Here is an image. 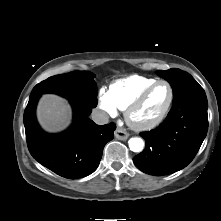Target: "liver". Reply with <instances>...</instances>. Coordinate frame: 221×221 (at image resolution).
<instances>
[{
  "instance_id": "obj_1",
  "label": "liver",
  "mask_w": 221,
  "mask_h": 221,
  "mask_svg": "<svg viewBox=\"0 0 221 221\" xmlns=\"http://www.w3.org/2000/svg\"><path fill=\"white\" fill-rule=\"evenodd\" d=\"M37 119L45 131L60 132L70 124L72 110L64 98L54 94H45L37 106Z\"/></svg>"
}]
</instances>
